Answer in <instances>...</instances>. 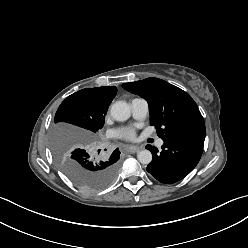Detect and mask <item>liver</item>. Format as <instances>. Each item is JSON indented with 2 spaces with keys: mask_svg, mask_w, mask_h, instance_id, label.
I'll list each match as a JSON object with an SVG mask.
<instances>
[{
  "mask_svg": "<svg viewBox=\"0 0 248 248\" xmlns=\"http://www.w3.org/2000/svg\"><path fill=\"white\" fill-rule=\"evenodd\" d=\"M61 130L63 131H67L69 133H77L81 136H86V135H89V133L87 131H84L82 129H77L75 127H70V126H62L60 127Z\"/></svg>",
  "mask_w": 248,
  "mask_h": 248,
  "instance_id": "liver-1",
  "label": "liver"
}]
</instances>
